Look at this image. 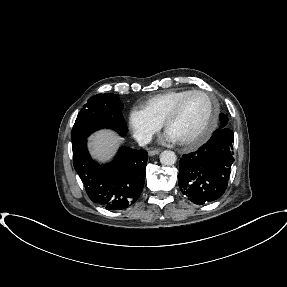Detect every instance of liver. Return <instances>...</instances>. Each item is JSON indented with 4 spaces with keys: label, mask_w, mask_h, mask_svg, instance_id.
Listing matches in <instances>:
<instances>
[{
    "label": "liver",
    "mask_w": 287,
    "mask_h": 287,
    "mask_svg": "<svg viewBox=\"0 0 287 287\" xmlns=\"http://www.w3.org/2000/svg\"><path fill=\"white\" fill-rule=\"evenodd\" d=\"M89 141L91 154L101 161H106L113 156L122 138L113 131L100 130L94 133Z\"/></svg>",
    "instance_id": "liver-1"
}]
</instances>
